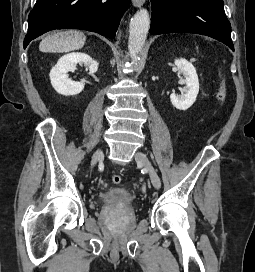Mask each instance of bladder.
<instances>
[{
	"label": "bladder",
	"instance_id": "1",
	"mask_svg": "<svg viewBox=\"0 0 255 272\" xmlns=\"http://www.w3.org/2000/svg\"><path fill=\"white\" fill-rule=\"evenodd\" d=\"M101 204L105 207L120 206L130 208L133 205L132 194L123 187H113L101 195Z\"/></svg>",
	"mask_w": 255,
	"mask_h": 272
}]
</instances>
